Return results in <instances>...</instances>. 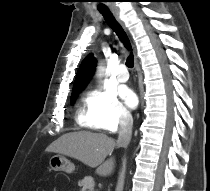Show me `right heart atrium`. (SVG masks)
Returning <instances> with one entry per match:
<instances>
[{
    "label": "right heart atrium",
    "mask_w": 210,
    "mask_h": 191,
    "mask_svg": "<svg viewBox=\"0 0 210 191\" xmlns=\"http://www.w3.org/2000/svg\"><path fill=\"white\" fill-rule=\"evenodd\" d=\"M87 105L99 129L115 132L131 121L129 110L109 89L97 88L89 93Z\"/></svg>",
    "instance_id": "d8ad5b80"
}]
</instances>
